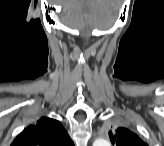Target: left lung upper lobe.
I'll return each mask as SVG.
<instances>
[{
  "label": "left lung upper lobe",
  "instance_id": "obj_1",
  "mask_svg": "<svg viewBox=\"0 0 164 146\" xmlns=\"http://www.w3.org/2000/svg\"><path fill=\"white\" fill-rule=\"evenodd\" d=\"M109 136L115 146H145L139 136L127 128L119 127L110 131Z\"/></svg>",
  "mask_w": 164,
  "mask_h": 146
}]
</instances>
